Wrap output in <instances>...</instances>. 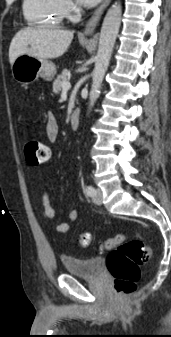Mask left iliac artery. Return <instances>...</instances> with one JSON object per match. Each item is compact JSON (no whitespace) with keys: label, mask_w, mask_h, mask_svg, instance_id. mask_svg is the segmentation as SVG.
<instances>
[{"label":"left iliac artery","mask_w":171,"mask_h":337,"mask_svg":"<svg viewBox=\"0 0 171 337\" xmlns=\"http://www.w3.org/2000/svg\"><path fill=\"white\" fill-rule=\"evenodd\" d=\"M85 191H86V194L88 196H94L95 195V189L91 185L86 186Z\"/></svg>","instance_id":"44dca946"}]
</instances>
